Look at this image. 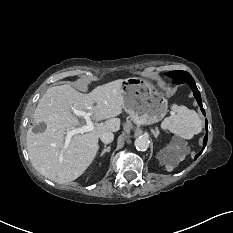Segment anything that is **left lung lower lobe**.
<instances>
[{"label": "left lung lower lobe", "instance_id": "left-lung-lower-lobe-1", "mask_svg": "<svg viewBox=\"0 0 233 233\" xmlns=\"http://www.w3.org/2000/svg\"><path fill=\"white\" fill-rule=\"evenodd\" d=\"M173 83H188L190 88L192 89L193 91V94H194V97L196 98L197 102H198V105L200 106V109L202 111V113L205 115V110L203 109V106H202V100H201V96H200V92L199 90L197 89L196 87V84L194 82V79L191 77H187L185 79H182L180 81L178 80H173ZM206 131H208V122L206 120ZM207 137H208V134L205 135L204 137V141H203V146L205 147L206 144H207ZM200 155V153L198 155L195 156V159Z\"/></svg>", "mask_w": 233, "mask_h": 233}]
</instances>
